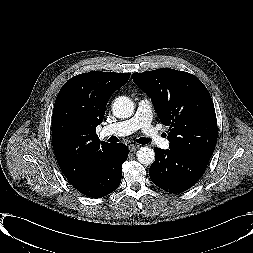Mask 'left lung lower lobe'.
Wrapping results in <instances>:
<instances>
[{
	"label": "left lung lower lobe",
	"instance_id": "0a47b994",
	"mask_svg": "<svg viewBox=\"0 0 253 253\" xmlns=\"http://www.w3.org/2000/svg\"><path fill=\"white\" fill-rule=\"evenodd\" d=\"M156 159L149 168L152 182L170 193H180L191 188L203 175L210 154L181 150L154 148Z\"/></svg>",
	"mask_w": 253,
	"mask_h": 253
}]
</instances>
